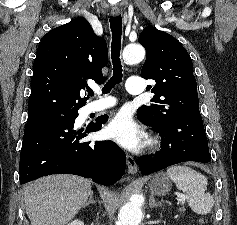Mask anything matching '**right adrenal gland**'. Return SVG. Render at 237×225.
Segmentation results:
<instances>
[{"mask_svg":"<svg viewBox=\"0 0 237 225\" xmlns=\"http://www.w3.org/2000/svg\"><path fill=\"white\" fill-rule=\"evenodd\" d=\"M95 203H96V201L93 199V192H91L88 202H86L83 207L85 208V207H87L89 204H95Z\"/></svg>","mask_w":237,"mask_h":225,"instance_id":"1","label":"right adrenal gland"}]
</instances>
